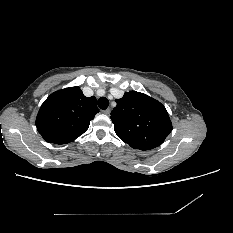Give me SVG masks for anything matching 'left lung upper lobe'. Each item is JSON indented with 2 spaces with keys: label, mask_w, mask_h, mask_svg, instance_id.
Masks as SVG:
<instances>
[{
  "label": "left lung upper lobe",
  "mask_w": 233,
  "mask_h": 233,
  "mask_svg": "<svg viewBox=\"0 0 233 233\" xmlns=\"http://www.w3.org/2000/svg\"><path fill=\"white\" fill-rule=\"evenodd\" d=\"M111 112L118 137L134 149L150 150L161 145L172 131L165 107L146 94L129 91Z\"/></svg>",
  "instance_id": "5c2ea615"
}]
</instances>
